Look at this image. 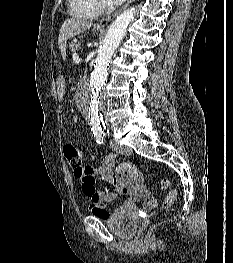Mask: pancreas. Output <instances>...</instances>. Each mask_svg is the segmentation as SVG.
Instances as JSON below:
<instances>
[{
  "label": "pancreas",
  "instance_id": "cf45deb5",
  "mask_svg": "<svg viewBox=\"0 0 233 263\" xmlns=\"http://www.w3.org/2000/svg\"><path fill=\"white\" fill-rule=\"evenodd\" d=\"M81 47V43L80 42H74L72 41L70 44H69V48L72 52H74L76 49H79Z\"/></svg>",
  "mask_w": 233,
  "mask_h": 263
}]
</instances>
